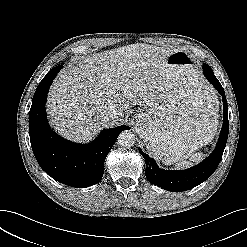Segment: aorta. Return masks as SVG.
Returning a JSON list of instances; mask_svg holds the SVG:
<instances>
[{
	"label": "aorta",
	"mask_w": 247,
	"mask_h": 247,
	"mask_svg": "<svg viewBox=\"0 0 247 247\" xmlns=\"http://www.w3.org/2000/svg\"><path fill=\"white\" fill-rule=\"evenodd\" d=\"M118 144L123 147H132L135 144V136L132 132L126 130L119 134Z\"/></svg>",
	"instance_id": "1"
}]
</instances>
